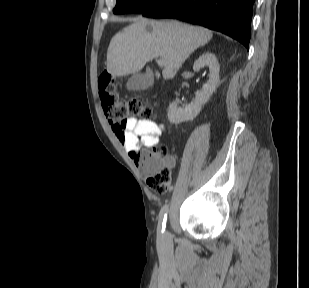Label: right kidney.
Returning a JSON list of instances; mask_svg holds the SVG:
<instances>
[{
	"mask_svg": "<svg viewBox=\"0 0 309 288\" xmlns=\"http://www.w3.org/2000/svg\"><path fill=\"white\" fill-rule=\"evenodd\" d=\"M209 67V79L202 89L196 93L195 100L185 107H179L176 102L169 105L168 118L173 124H179L185 121H192L201 111L202 106L212 96L219 83V63L213 53L206 52L202 54L193 65V70L198 72L203 67Z\"/></svg>",
	"mask_w": 309,
	"mask_h": 288,
	"instance_id": "right-kidney-1",
	"label": "right kidney"
}]
</instances>
